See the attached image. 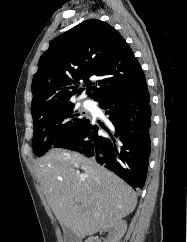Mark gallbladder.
I'll list each match as a JSON object with an SVG mask.
<instances>
[{
  "label": "gallbladder",
  "mask_w": 187,
  "mask_h": 242,
  "mask_svg": "<svg viewBox=\"0 0 187 242\" xmlns=\"http://www.w3.org/2000/svg\"><path fill=\"white\" fill-rule=\"evenodd\" d=\"M64 242H81V240L67 227H64Z\"/></svg>",
  "instance_id": "obj_1"
}]
</instances>
